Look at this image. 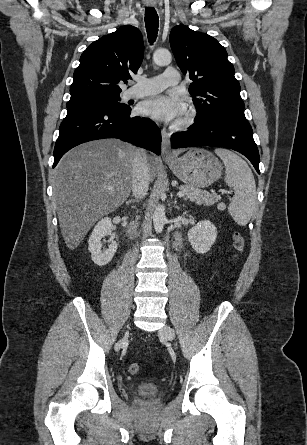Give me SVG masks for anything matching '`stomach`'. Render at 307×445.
I'll return each mask as SVG.
<instances>
[{"instance_id":"stomach-1","label":"stomach","mask_w":307,"mask_h":445,"mask_svg":"<svg viewBox=\"0 0 307 445\" xmlns=\"http://www.w3.org/2000/svg\"><path fill=\"white\" fill-rule=\"evenodd\" d=\"M172 172L189 186L205 188L222 174L223 166L217 156L204 148H191L181 158L167 160Z\"/></svg>"}]
</instances>
